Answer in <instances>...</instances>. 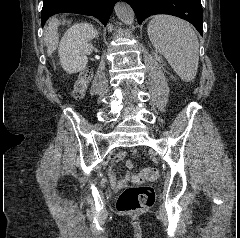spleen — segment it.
<instances>
[{
    "label": "spleen",
    "instance_id": "obj_1",
    "mask_svg": "<svg viewBox=\"0 0 240 238\" xmlns=\"http://www.w3.org/2000/svg\"><path fill=\"white\" fill-rule=\"evenodd\" d=\"M154 48L162 54L179 77L194 79L199 63V42L190 24L179 18L156 15L147 27Z\"/></svg>",
    "mask_w": 240,
    "mask_h": 238
}]
</instances>
